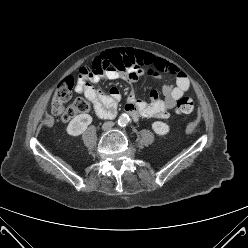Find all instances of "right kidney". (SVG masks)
<instances>
[{
	"instance_id": "ca27d5eb",
	"label": "right kidney",
	"mask_w": 248,
	"mask_h": 248,
	"mask_svg": "<svg viewBox=\"0 0 248 248\" xmlns=\"http://www.w3.org/2000/svg\"><path fill=\"white\" fill-rule=\"evenodd\" d=\"M92 122V117L89 114H79L75 116L67 126V133L71 136H78L84 133Z\"/></svg>"
}]
</instances>
